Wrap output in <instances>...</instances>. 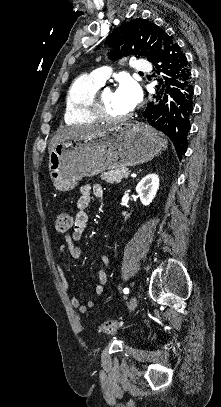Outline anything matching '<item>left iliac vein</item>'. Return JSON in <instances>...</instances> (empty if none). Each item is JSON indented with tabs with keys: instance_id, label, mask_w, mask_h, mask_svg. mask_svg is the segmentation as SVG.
I'll return each instance as SVG.
<instances>
[{
	"instance_id": "1",
	"label": "left iliac vein",
	"mask_w": 221,
	"mask_h": 407,
	"mask_svg": "<svg viewBox=\"0 0 221 407\" xmlns=\"http://www.w3.org/2000/svg\"><path fill=\"white\" fill-rule=\"evenodd\" d=\"M136 306H137V297H136V296H133L132 299H131V301H130V304H129V310H130L131 312L134 311L135 308H136Z\"/></svg>"
}]
</instances>
